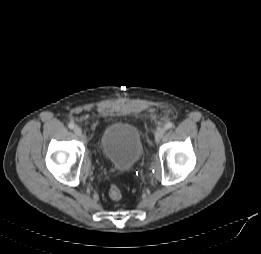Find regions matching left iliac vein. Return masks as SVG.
<instances>
[{"mask_svg":"<svg viewBox=\"0 0 261 254\" xmlns=\"http://www.w3.org/2000/svg\"><path fill=\"white\" fill-rule=\"evenodd\" d=\"M165 133V128H159L155 133V142L158 143Z\"/></svg>","mask_w":261,"mask_h":254,"instance_id":"left-iliac-vein-1","label":"left iliac vein"}]
</instances>
